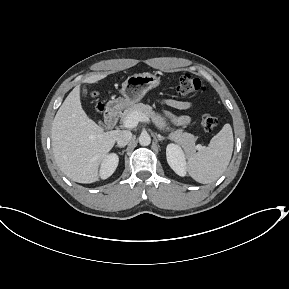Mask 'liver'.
Returning <instances> with one entry per match:
<instances>
[{
    "instance_id": "liver-1",
    "label": "liver",
    "mask_w": 289,
    "mask_h": 289,
    "mask_svg": "<svg viewBox=\"0 0 289 289\" xmlns=\"http://www.w3.org/2000/svg\"><path fill=\"white\" fill-rule=\"evenodd\" d=\"M107 74H94L83 83H96ZM119 131L104 132L81 106L80 85L66 97L52 124L51 140L55 161L69 179L93 183L99 179V166L115 144Z\"/></svg>"
}]
</instances>
